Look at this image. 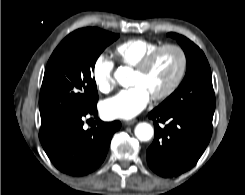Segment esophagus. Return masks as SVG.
<instances>
[{
  "mask_svg": "<svg viewBox=\"0 0 245 195\" xmlns=\"http://www.w3.org/2000/svg\"><path fill=\"white\" fill-rule=\"evenodd\" d=\"M136 122H137L136 120H129V121H125V125L130 126V125L135 124Z\"/></svg>",
  "mask_w": 245,
  "mask_h": 195,
  "instance_id": "34e87169",
  "label": "esophagus"
}]
</instances>
